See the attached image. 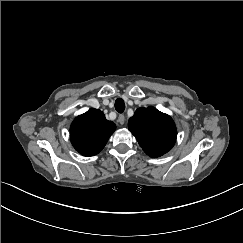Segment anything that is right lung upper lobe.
<instances>
[{
  "mask_svg": "<svg viewBox=\"0 0 243 243\" xmlns=\"http://www.w3.org/2000/svg\"><path fill=\"white\" fill-rule=\"evenodd\" d=\"M115 128V124L106 120L102 111L91 108L71 124V143L83 156L96 155L104 148Z\"/></svg>",
  "mask_w": 243,
  "mask_h": 243,
  "instance_id": "obj_1",
  "label": "right lung upper lobe"
}]
</instances>
